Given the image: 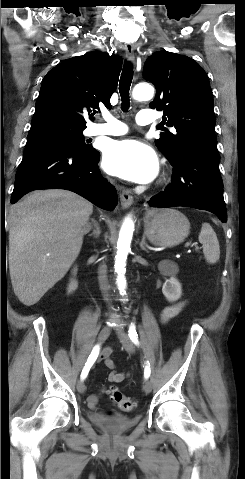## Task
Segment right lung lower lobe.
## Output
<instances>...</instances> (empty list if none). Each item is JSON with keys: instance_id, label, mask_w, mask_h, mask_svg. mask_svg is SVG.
I'll return each instance as SVG.
<instances>
[{"instance_id": "1", "label": "right lung lower lobe", "mask_w": 245, "mask_h": 479, "mask_svg": "<svg viewBox=\"0 0 245 479\" xmlns=\"http://www.w3.org/2000/svg\"><path fill=\"white\" fill-rule=\"evenodd\" d=\"M99 152L66 143L46 145L24 153L15 176L11 203L39 189H66L106 210L117 204L116 189L100 174Z\"/></svg>"}]
</instances>
